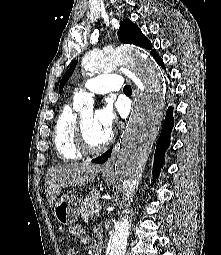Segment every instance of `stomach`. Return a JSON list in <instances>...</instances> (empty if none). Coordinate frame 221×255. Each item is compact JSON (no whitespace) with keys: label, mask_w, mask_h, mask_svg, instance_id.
<instances>
[{"label":"stomach","mask_w":221,"mask_h":255,"mask_svg":"<svg viewBox=\"0 0 221 255\" xmlns=\"http://www.w3.org/2000/svg\"><path fill=\"white\" fill-rule=\"evenodd\" d=\"M104 181L107 184L114 182V176L104 174ZM81 198L69 194H63L57 199L53 206V215L61 225H70L77 221L81 212Z\"/></svg>","instance_id":"1"}]
</instances>
